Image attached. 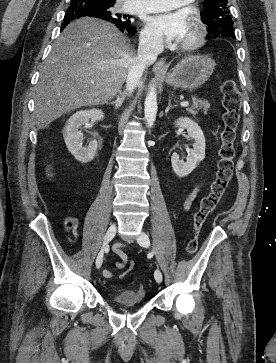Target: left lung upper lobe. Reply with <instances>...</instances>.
Here are the masks:
<instances>
[{"mask_svg":"<svg viewBox=\"0 0 276 363\" xmlns=\"http://www.w3.org/2000/svg\"><path fill=\"white\" fill-rule=\"evenodd\" d=\"M201 17L202 21L208 25L207 36L209 38L235 37L233 20L228 9L227 0H205Z\"/></svg>","mask_w":276,"mask_h":363,"instance_id":"left-lung-upper-lobe-1","label":"left lung upper lobe"}]
</instances>
